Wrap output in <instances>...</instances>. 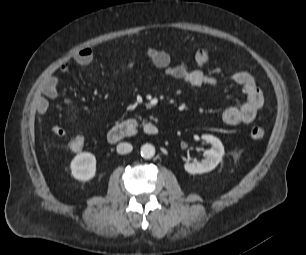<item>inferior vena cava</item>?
Instances as JSON below:
<instances>
[{
    "label": "inferior vena cava",
    "mask_w": 306,
    "mask_h": 255,
    "mask_svg": "<svg viewBox=\"0 0 306 255\" xmlns=\"http://www.w3.org/2000/svg\"><path fill=\"white\" fill-rule=\"evenodd\" d=\"M132 149H133V147L129 143H119L117 145L118 154H127V153L131 152Z\"/></svg>",
    "instance_id": "inferior-vena-cava-1"
}]
</instances>
